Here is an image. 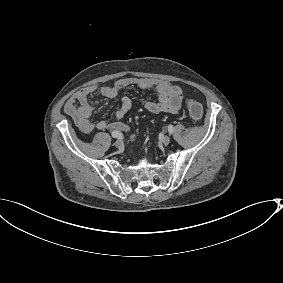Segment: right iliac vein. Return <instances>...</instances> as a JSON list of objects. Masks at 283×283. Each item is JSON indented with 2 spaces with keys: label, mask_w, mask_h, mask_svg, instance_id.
Returning a JSON list of instances; mask_svg holds the SVG:
<instances>
[{
  "label": "right iliac vein",
  "mask_w": 283,
  "mask_h": 283,
  "mask_svg": "<svg viewBox=\"0 0 283 283\" xmlns=\"http://www.w3.org/2000/svg\"><path fill=\"white\" fill-rule=\"evenodd\" d=\"M115 146L118 148V149H121L123 148V142L122 140L118 139L116 142H115Z\"/></svg>",
  "instance_id": "63e3f726"
}]
</instances>
